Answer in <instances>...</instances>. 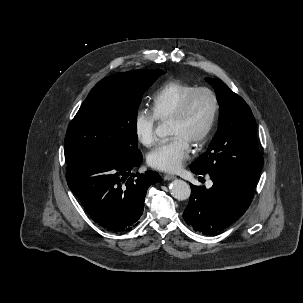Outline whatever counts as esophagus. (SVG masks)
Wrapping results in <instances>:
<instances>
[{
    "instance_id": "esophagus-1",
    "label": "esophagus",
    "mask_w": 303,
    "mask_h": 303,
    "mask_svg": "<svg viewBox=\"0 0 303 303\" xmlns=\"http://www.w3.org/2000/svg\"><path fill=\"white\" fill-rule=\"evenodd\" d=\"M176 177L174 176V175H171V174H166L165 176H164V180H166V181H170V180H173V179H175Z\"/></svg>"
}]
</instances>
